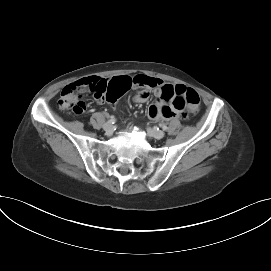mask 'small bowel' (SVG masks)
Returning a JSON list of instances; mask_svg holds the SVG:
<instances>
[{
	"label": "small bowel",
	"mask_w": 271,
	"mask_h": 271,
	"mask_svg": "<svg viewBox=\"0 0 271 271\" xmlns=\"http://www.w3.org/2000/svg\"><path fill=\"white\" fill-rule=\"evenodd\" d=\"M82 81L90 82L89 90L85 87L83 91L92 94L100 102L117 103L122 99L123 94L131 93L137 87H141L142 90L133 97L134 102L145 103L150 97V92H153L159 98V101L151 104L147 109V114L151 119L169 120L186 116L184 107L175 104V91L177 88L185 89L184 85L167 84L154 77L147 75L135 76L132 73H125L121 76H113L107 79L91 77ZM165 89L173 92L171 98L165 97Z\"/></svg>",
	"instance_id": "small-bowel-1"
}]
</instances>
